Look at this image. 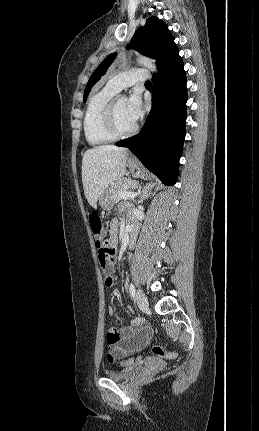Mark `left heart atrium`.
I'll return each mask as SVG.
<instances>
[{
  "instance_id": "1",
  "label": "left heart atrium",
  "mask_w": 259,
  "mask_h": 431,
  "mask_svg": "<svg viewBox=\"0 0 259 431\" xmlns=\"http://www.w3.org/2000/svg\"><path fill=\"white\" fill-rule=\"evenodd\" d=\"M126 113L133 123L143 117L144 107L139 92L134 91L126 100Z\"/></svg>"
}]
</instances>
